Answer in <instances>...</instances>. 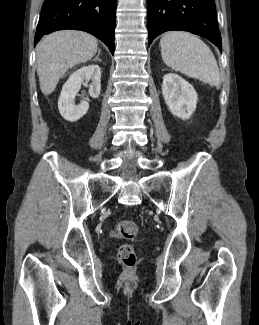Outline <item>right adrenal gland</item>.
Instances as JSON below:
<instances>
[{"label": "right adrenal gland", "instance_id": "obj_1", "mask_svg": "<svg viewBox=\"0 0 259 325\" xmlns=\"http://www.w3.org/2000/svg\"><path fill=\"white\" fill-rule=\"evenodd\" d=\"M99 55H100V51L98 52V55L96 56V58H95L93 61H101V60L99 59Z\"/></svg>", "mask_w": 259, "mask_h": 325}]
</instances>
